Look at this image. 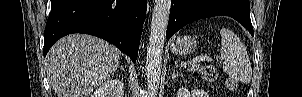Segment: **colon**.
<instances>
[{"instance_id":"obj_1","label":"colon","mask_w":302,"mask_h":97,"mask_svg":"<svg viewBox=\"0 0 302 97\" xmlns=\"http://www.w3.org/2000/svg\"><path fill=\"white\" fill-rule=\"evenodd\" d=\"M201 74H202L203 78L209 82H213L217 78L216 69L210 65L203 66L201 69ZM225 86L227 89L232 90L235 88L236 83H235V81H233L231 79H226Z\"/></svg>"}]
</instances>
